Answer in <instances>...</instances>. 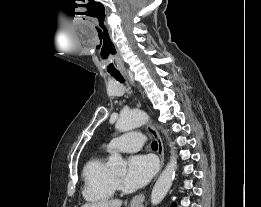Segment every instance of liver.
<instances>
[{"label": "liver", "mask_w": 261, "mask_h": 207, "mask_svg": "<svg viewBox=\"0 0 261 207\" xmlns=\"http://www.w3.org/2000/svg\"><path fill=\"white\" fill-rule=\"evenodd\" d=\"M122 201L115 199V200H102L99 202H92L86 203L81 207H121Z\"/></svg>", "instance_id": "liver-1"}]
</instances>
